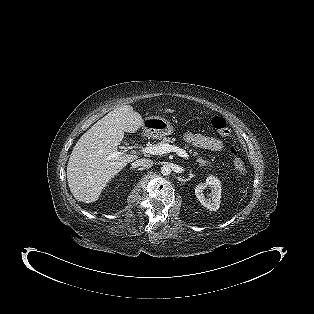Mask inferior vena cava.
<instances>
[{"label": "inferior vena cava", "mask_w": 314, "mask_h": 314, "mask_svg": "<svg viewBox=\"0 0 314 314\" xmlns=\"http://www.w3.org/2000/svg\"><path fill=\"white\" fill-rule=\"evenodd\" d=\"M153 164L154 162L151 159L141 158L132 163V168H137V167L150 168L153 166Z\"/></svg>", "instance_id": "obj_1"}]
</instances>
